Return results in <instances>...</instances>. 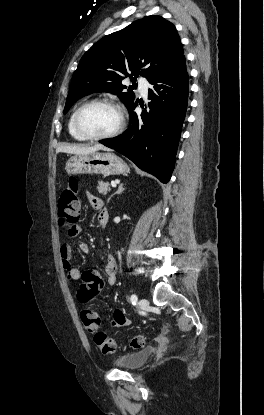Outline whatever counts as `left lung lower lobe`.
I'll list each match as a JSON object with an SVG mask.
<instances>
[{
  "instance_id": "1",
  "label": "left lung lower lobe",
  "mask_w": 264,
  "mask_h": 415,
  "mask_svg": "<svg viewBox=\"0 0 264 415\" xmlns=\"http://www.w3.org/2000/svg\"><path fill=\"white\" fill-rule=\"evenodd\" d=\"M149 108H128L130 125L120 136L100 141L132 160L140 169L167 183L175 164L187 102L189 77L183 55L164 72L149 80Z\"/></svg>"
}]
</instances>
